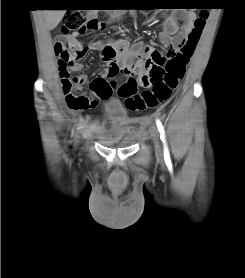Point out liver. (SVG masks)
<instances>
[{"mask_svg":"<svg viewBox=\"0 0 245 278\" xmlns=\"http://www.w3.org/2000/svg\"><path fill=\"white\" fill-rule=\"evenodd\" d=\"M66 10H44L43 17L46 27L54 29L64 17Z\"/></svg>","mask_w":245,"mask_h":278,"instance_id":"obj_1","label":"liver"}]
</instances>
